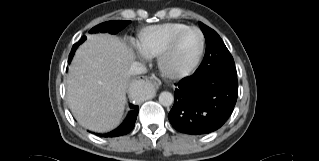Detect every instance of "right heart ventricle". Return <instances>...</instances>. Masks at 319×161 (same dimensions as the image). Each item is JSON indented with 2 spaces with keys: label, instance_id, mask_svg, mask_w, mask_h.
<instances>
[{
  "label": "right heart ventricle",
  "instance_id": "right-heart-ventricle-1",
  "mask_svg": "<svg viewBox=\"0 0 319 161\" xmlns=\"http://www.w3.org/2000/svg\"><path fill=\"white\" fill-rule=\"evenodd\" d=\"M186 27H188L186 24L178 22H167L146 27L138 35L137 47L145 57L159 56L172 35Z\"/></svg>",
  "mask_w": 319,
  "mask_h": 161
}]
</instances>
